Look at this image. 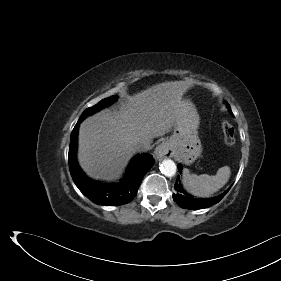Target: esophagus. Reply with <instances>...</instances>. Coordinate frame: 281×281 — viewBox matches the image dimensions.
Listing matches in <instances>:
<instances>
[{
  "label": "esophagus",
  "instance_id": "1",
  "mask_svg": "<svg viewBox=\"0 0 281 281\" xmlns=\"http://www.w3.org/2000/svg\"><path fill=\"white\" fill-rule=\"evenodd\" d=\"M155 157L158 160L169 158L173 156V149L169 142L164 141L159 144L154 151Z\"/></svg>",
  "mask_w": 281,
  "mask_h": 281
}]
</instances>
